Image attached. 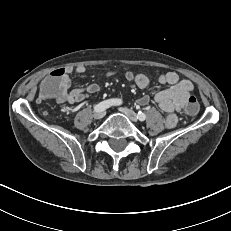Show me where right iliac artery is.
<instances>
[{"mask_svg":"<svg viewBox=\"0 0 231 231\" xmlns=\"http://www.w3.org/2000/svg\"><path fill=\"white\" fill-rule=\"evenodd\" d=\"M121 103L122 101L119 99H108V100L102 101L99 104L95 105L94 111L95 112L104 111L111 106L120 105Z\"/></svg>","mask_w":231,"mask_h":231,"instance_id":"1","label":"right iliac artery"}]
</instances>
